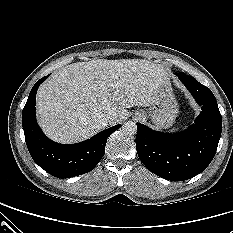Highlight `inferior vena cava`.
<instances>
[{
	"mask_svg": "<svg viewBox=\"0 0 233 233\" xmlns=\"http://www.w3.org/2000/svg\"><path fill=\"white\" fill-rule=\"evenodd\" d=\"M101 127L111 124L112 118L109 115H101L95 120Z\"/></svg>",
	"mask_w": 233,
	"mask_h": 233,
	"instance_id": "obj_1",
	"label": "inferior vena cava"
}]
</instances>
